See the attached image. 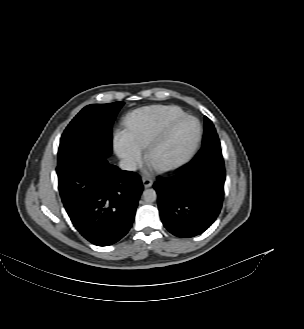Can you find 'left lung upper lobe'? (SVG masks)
Instances as JSON below:
<instances>
[{"label": "left lung upper lobe", "mask_w": 304, "mask_h": 329, "mask_svg": "<svg viewBox=\"0 0 304 329\" xmlns=\"http://www.w3.org/2000/svg\"><path fill=\"white\" fill-rule=\"evenodd\" d=\"M215 134H217V133H216L213 123L211 122V120L209 118H207L205 116L203 143H205L209 138H211Z\"/></svg>", "instance_id": "5c2ea615"}]
</instances>
